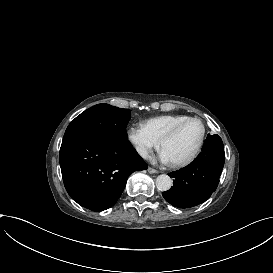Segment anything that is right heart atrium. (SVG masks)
Instances as JSON below:
<instances>
[{"label": "right heart atrium", "mask_w": 273, "mask_h": 273, "mask_svg": "<svg viewBox=\"0 0 273 273\" xmlns=\"http://www.w3.org/2000/svg\"><path fill=\"white\" fill-rule=\"evenodd\" d=\"M128 138L137 154L143 159H148L158 146V142L150 135L143 124L130 126Z\"/></svg>", "instance_id": "right-heart-atrium-1"}]
</instances>
